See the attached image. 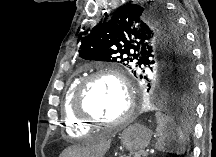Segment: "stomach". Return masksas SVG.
I'll return each mask as SVG.
<instances>
[{"label":"stomach","mask_w":216,"mask_h":157,"mask_svg":"<svg viewBox=\"0 0 216 157\" xmlns=\"http://www.w3.org/2000/svg\"><path fill=\"white\" fill-rule=\"evenodd\" d=\"M152 132L140 125L134 124L122 132V141L130 151H142L150 143Z\"/></svg>","instance_id":"1"}]
</instances>
